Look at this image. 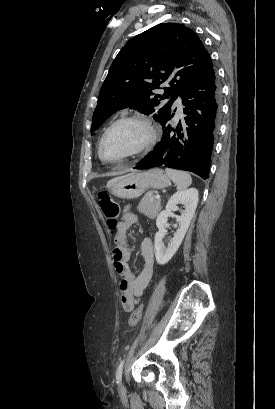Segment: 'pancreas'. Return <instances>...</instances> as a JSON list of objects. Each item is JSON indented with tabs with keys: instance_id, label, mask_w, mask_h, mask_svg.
Masks as SVG:
<instances>
[{
	"instance_id": "cf45deb5",
	"label": "pancreas",
	"mask_w": 275,
	"mask_h": 409,
	"mask_svg": "<svg viewBox=\"0 0 275 409\" xmlns=\"http://www.w3.org/2000/svg\"><path fill=\"white\" fill-rule=\"evenodd\" d=\"M160 202V198L156 200L152 190H148V192H145L143 198H141L137 209L140 213L147 215L149 219H154L159 213Z\"/></svg>"
}]
</instances>
